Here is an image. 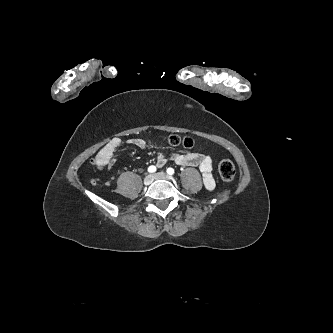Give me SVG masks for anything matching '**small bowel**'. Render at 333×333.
Listing matches in <instances>:
<instances>
[{"label":"small bowel","mask_w":333,"mask_h":333,"mask_svg":"<svg viewBox=\"0 0 333 333\" xmlns=\"http://www.w3.org/2000/svg\"><path fill=\"white\" fill-rule=\"evenodd\" d=\"M129 145L136 146L138 148H146L149 146V142L141 138H130L127 140ZM122 144V140L118 137L113 138L104 148H102L94 158L93 162L96 166L112 165L113 153ZM169 160L182 166H194L198 167L203 184L207 190H212L215 187V180L213 177V160L210 156L201 153H175L172 155L159 154L157 157V165L159 167L164 166Z\"/></svg>","instance_id":"obj_1"}]
</instances>
